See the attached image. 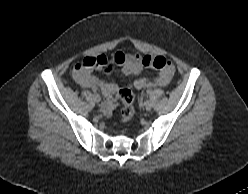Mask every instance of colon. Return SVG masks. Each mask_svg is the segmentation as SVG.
Listing matches in <instances>:
<instances>
[{
    "label": "colon",
    "instance_id": "1",
    "mask_svg": "<svg viewBox=\"0 0 248 194\" xmlns=\"http://www.w3.org/2000/svg\"><path fill=\"white\" fill-rule=\"evenodd\" d=\"M144 65L146 67H153L156 69H164L172 66L174 68V64L163 57H151L146 56L144 59ZM86 67H97V63L93 60L86 65ZM117 97L122 103L123 107L121 110L120 121L122 123H127L132 120L135 114L134 109V96L131 90L127 88H119Z\"/></svg>",
    "mask_w": 248,
    "mask_h": 194
}]
</instances>
